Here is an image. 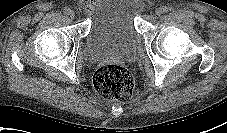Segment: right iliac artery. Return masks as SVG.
<instances>
[{
	"instance_id": "82829eb1",
	"label": "right iliac artery",
	"mask_w": 227,
	"mask_h": 133,
	"mask_svg": "<svg viewBox=\"0 0 227 133\" xmlns=\"http://www.w3.org/2000/svg\"><path fill=\"white\" fill-rule=\"evenodd\" d=\"M70 11L71 10L68 7H65L64 10H63V12H64L65 15H69Z\"/></svg>"
}]
</instances>
